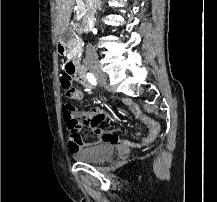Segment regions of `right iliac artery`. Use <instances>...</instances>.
<instances>
[{
  "mask_svg": "<svg viewBox=\"0 0 217 202\" xmlns=\"http://www.w3.org/2000/svg\"><path fill=\"white\" fill-rule=\"evenodd\" d=\"M87 79L89 80V82H90L92 85H96V84H97L96 78L94 77L93 74L87 73Z\"/></svg>",
  "mask_w": 217,
  "mask_h": 202,
  "instance_id": "right-iliac-artery-1",
  "label": "right iliac artery"
}]
</instances>
